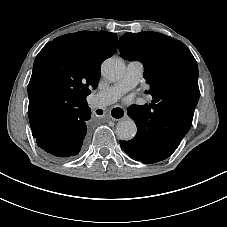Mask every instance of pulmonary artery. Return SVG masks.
<instances>
[{"instance_id": "1", "label": "pulmonary artery", "mask_w": 227, "mask_h": 227, "mask_svg": "<svg viewBox=\"0 0 227 227\" xmlns=\"http://www.w3.org/2000/svg\"><path fill=\"white\" fill-rule=\"evenodd\" d=\"M144 72L143 64L139 61H130L126 65L123 77L114 85L109 86L90 100L91 108H103L117 102L121 97L133 89L141 81Z\"/></svg>"}]
</instances>
